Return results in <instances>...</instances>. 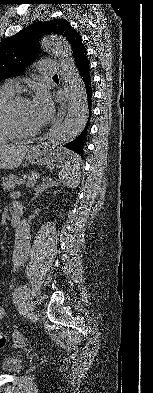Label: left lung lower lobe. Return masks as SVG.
Instances as JSON below:
<instances>
[{
    "label": "left lung lower lobe",
    "mask_w": 153,
    "mask_h": 393,
    "mask_svg": "<svg viewBox=\"0 0 153 393\" xmlns=\"http://www.w3.org/2000/svg\"><path fill=\"white\" fill-rule=\"evenodd\" d=\"M75 62H76V67L78 68L79 74L82 79L83 88H84V91L86 93L85 95L88 100V106L90 108L92 90H91V81H90V77H89L90 76L89 65H88V61H87L86 51L83 52V54H79V56L77 57ZM85 132H86V129L74 141L64 145V147H66L70 150H73L74 152L82 155V149H83L84 140H85Z\"/></svg>",
    "instance_id": "1"
}]
</instances>
